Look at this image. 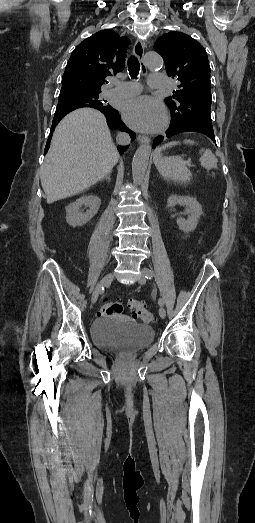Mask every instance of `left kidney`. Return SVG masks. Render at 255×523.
Segmentation results:
<instances>
[{"label": "left kidney", "instance_id": "1", "mask_svg": "<svg viewBox=\"0 0 255 523\" xmlns=\"http://www.w3.org/2000/svg\"><path fill=\"white\" fill-rule=\"evenodd\" d=\"M175 204H181V206H187V214H190L188 220L184 218H177V224L185 234L193 232L195 230L198 220L202 214V206L197 202L196 198L191 196H169L167 200L166 208H173Z\"/></svg>", "mask_w": 255, "mask_h": 523}]
</instances>
